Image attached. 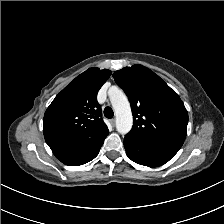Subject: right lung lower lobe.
<instances>
[{"label": "right lung lower lobe", "mask_w": 224, "mask_h": 224, "mask_svg": "<svg viewBox=\"0 0 224 224\" xmlns=\"http://www.w3.org/2000/svg\"><path fill=\"white\" fill-rule=\"evenodd\" d=\"M107 135L88 139L54 129L44 130L45 140L54 155L70 166L82 165L94 159Z\"/></svg>", "instance_id": "right-lung-lower-lobe-1"}]
</instances>
